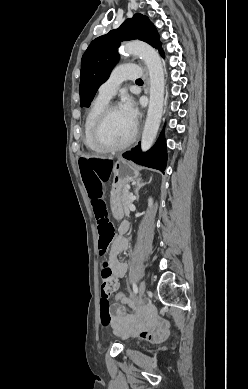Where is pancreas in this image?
Returning a JSON list of instances; mask_svg holds the SVG:
<instances>
[{
  "label": "pancreas",
  "mask_w": 248,
  "mask_h": 389,
  "mask_svg": "<svg viewBox=\"0 0 248 389\" xmlns=\"http://www.w3.org/2000/svg\"><path fill=\"white\" fill-rule=\"evenodd\" d=\"M120 189L122 192V204H123L124 212L126 215H128L129 214L128 205L132 202V200L130 199L131 194L127 186H123Z\"/></svg>",
  "instance_id": "1"
}]
</instances>
